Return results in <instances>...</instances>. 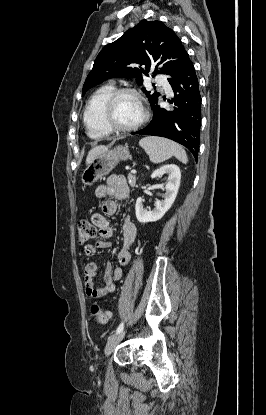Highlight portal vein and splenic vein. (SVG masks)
<instances>
[{"mask_svg": "<svg viewBox=\"0 0 266 415\" xmlns=\"http://www.w3.org/2000/svg\"><path fill=\"white\" fill-rule=\"evenodd\" d=\"M137 171L135 169L131 170L130 173L131 174H135Z\"/></svg>", "mask_w": 266, "mask_h": 415, "instance_id": "18ae733b", "label": "portal vein and splenic vein"}]
</instances>
